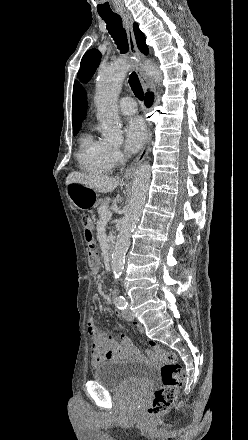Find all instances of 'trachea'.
I'll list each match as a JSON object with an SVG mask.
<instances>
[{
    "label": "trachea",
    "mask_w": 248,
    "mask_h": 440,
    "mask_svg": "<svg viewBox=\"0 0 248 440\" xmlns=\"http://www.w3.org/2000/svg\"><path fill=\"white\" fill-rule=\"evenodd\" d=\"M107 24V30L114 39L117 48L121 53H127L128 40L125 29L122 26V19L118 14L100 15ZM130 87L139 100H143L144 92L139 78L135 72H132L129 78Z\"/></svg>",
    "instance_id": "obj_1"
}]
</instances>
